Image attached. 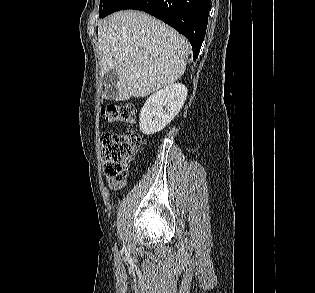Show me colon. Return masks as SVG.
Wrapping results in <instances>:
<instances>
[{"label":"colon","mask_w":315,"mask_h":293,"mask_svg":"<svg viewBox=\"0 0 315 293\" xmlns=\"http://www.w3.org/2000/svg\"><path fill=\"white\" fill-rule=\"evenodd\" d=\"M107 122L132 124L135 108L131 105H109L101 111ZM142 143L136 130L126 133L104 134L100 139V150L104 174L111 183H121L127 174V164Z\"/></svg>","instance_id":"obj_1"}]
</instances>
